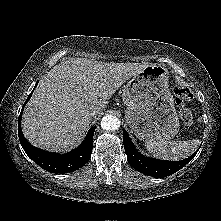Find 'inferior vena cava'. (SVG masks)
Instances as JSON below:
<instances>
[{"label": "inferior vena cava", "instance_id": "602c4592", "mask_svg": "<svg viewBox=\"0 0 221 221\" xmlns=\"http://www.w3.org/2000/svg\"><path fill=\"white\" fill-rule=\"evenodd\" d=\"M98 113H99V109H98V108H94V109H92L91 112H90L91 116H95V115H97Z\"/></svg>", "mask_w": 221, "mask_h": 221}]
</instances>
